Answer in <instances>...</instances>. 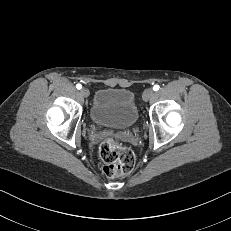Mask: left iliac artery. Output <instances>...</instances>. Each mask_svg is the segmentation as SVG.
Masks as SVG:
<instances>
[{"instance_id": "44dca946", "label": "left iliac artery", "mask_w": 231, "mask_h": 231, "mask_svg": "<svg viewBox=\"0 0 231 231\" xmlns=\"http://www.w3.org/2000/svg\"><path fill=\"white\" fill-rule=\"evenodd\" d=\"M153 90H154V91L159 90V85H155V86L153 87Z\"/></svg>"}]
</instances>
